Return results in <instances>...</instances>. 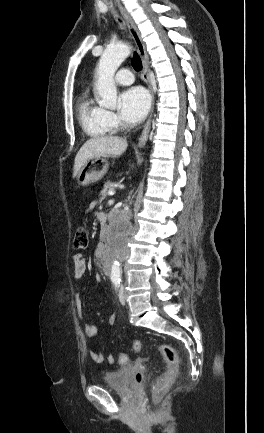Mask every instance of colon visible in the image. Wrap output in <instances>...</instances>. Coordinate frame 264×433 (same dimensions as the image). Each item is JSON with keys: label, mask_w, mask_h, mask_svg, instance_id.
Returning a JSON list of instances; mask_svg holds the SVG:
<instances>
[{"label": "colon", "mask_w": 264, "mask_h": 433, "mask_svg": "<svg viewBox=\"0 0 264 433\" xmlns=\"http://www.w3.org/2000/svg\"><path fill=\"white\" fill-rule=\"evenodd\" d=\"M89 246L88 232L84 227L77 229L74 236V248L79 251H84ZM133 349L135 352L139 353L143 350V343L139 340L133 343ZM156 349L161 354L165 362V371L161 376L160 383L164 386L170 385L176 378L178 372V355L176 350L166 344L158 343ZM128 362V355L126 353H121L119 355V363L125 364Z\"/></svg>", "instance_id": "1"}]
</instances>
